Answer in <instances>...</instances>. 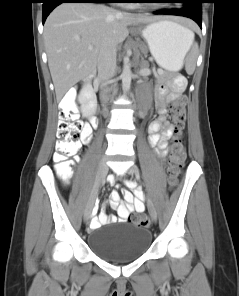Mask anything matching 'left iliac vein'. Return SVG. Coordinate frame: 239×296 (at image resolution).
I'll return each instance as SVG.
<instances>
[{
    "label": "left iliac vein",
    "instance_id": "1",
    "mask_svg": "<svg viewBox=\"0 0 239 296\" xmlns=\"http://www.w3.org/2000/svg\"><path fill=\"white\" fill-rule=\"evenodd\" d=\"M127 171L129 174H131L133 176H136V177L139 176L138 168L135 165L129 167ZM147 207H148V211L150 213L152 220L154 222H156L157 221V211L154 206V203L152 202V200L150 198L147 199Z\"/></svg>",
    "mask_w": 239,
    "mask_h": 296
}]
</instances>
